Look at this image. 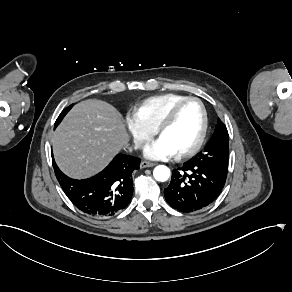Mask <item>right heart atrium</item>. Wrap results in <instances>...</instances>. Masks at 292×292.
Listing matches in <instances>:
<instances>
[{"instance_id": "obj_1", "label": "right heart atrium", "mask_w": 292, "mask_h": 292, "mask_svg": "<svg viewBox=\"0 0 292 292\" xmlns=\"http://www.w3.org/2000/svg\"><path fill=\"white\" fill-rule=\"evenodd\" d=\"M124 125L128 129L133 138V142L137 147H142L149 140L152 129L142 124L133 113H127L123 116Z\"/></svg>"}]
</instances>
